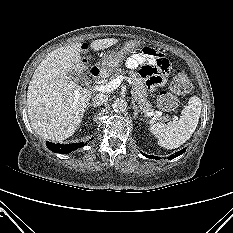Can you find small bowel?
Instances as JSON below:
<instances>
[{"instance_id":"obj_1","label":"small bowel","mask_w":233,"mask_h":233,"mask_svg":"<svg viewBox=\"0 0 233 233\" xmlns=\"http://www.w3.org/2000/svg\"><path fill=\"white\" fill-rule=\"evenodd\" d=\"M126 65L131 69L139 68V75L145 79L150 89L162 85L163 76L169 70V62L148 47L128 57Z\"/></svg>"}]
</instances>
